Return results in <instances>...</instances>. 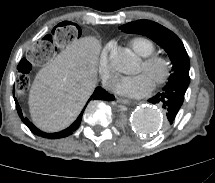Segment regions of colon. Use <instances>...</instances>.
Listing matches in <instances>:
<instances>
[{"label":"colon","mask_w":215,"mask_h":183,"mask_svg":"<svg viewBox=\"0 0 215 183\" xmlns=\"http://www.w3.org/2000/svg\"><path fill=\"white\" fill-rule=\"evenodd\" d=\"M83 36V26L77 20H67L58 25L52 33L34 44L28 51L27 57L17 63L19 76L14 81V90L20 96H29L35 90L34 77L38 72V65L50 60L58 50L72 42L79 41Z\"/></svg>","instance_id":"obj_1"}]
</instances>
